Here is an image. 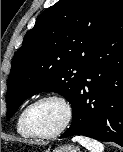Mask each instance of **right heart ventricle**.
I'll return each instance as SVG.
<instances>
[{
    "label": "right heart ventricle",
    "mask_w": 123,
    "mask_h": 152,
    "mask_svg": "<svg viewBox=\"0 0 123 152\" xmlns=\"http://www.w3.org/2000/svg\"><path fill=\"white\" fill-rule=\"evenodd\" d=\"M26 108V107H25ZM25 108H23L18 117H17V120H16V130H17V133L23 137V138H30V134L26 131V129L24 128V125H23V114H24V111H25Z\"/></svg>",
    "instance_id": "right-heart-ventricle-1"
}]
</instances>
